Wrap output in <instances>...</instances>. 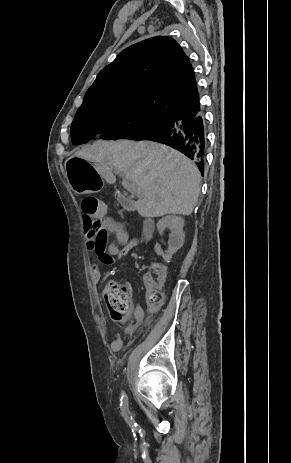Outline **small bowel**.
Returning a JSON list of instances; mask_svg holds the SVG:
<instances>
[{
	"mask_svg": "<svg viewBox=\"0 0 291 463\" xmlns=\"http://www.w3.org/2000/svg\"><path fill=\"white\" fill-rule=\"evenodd\" d=\"M110 234L114 236V240L108 243L107 239ZM85 241L87 248L94 251L99 262L105 265L114 264L140 244L139 240L129 238L127 231L121 223L105 215L100 218L99 228L92 230L85 229ZM92 276L95 282L100 281L101 274L96 266L93 268ZM143 280L149 285L151 283V276L145 275ZM126 287L131 289V284L127 282ZM133 315L136 326L144 322L145 313L141 306L134 308ZM121 346L122 338L118 335L112 341L111 349L117 352Z\"/></svg>",
	"mask_w": 291,
	"mask_h": 463,
	"instance_id": "obj_1",
	"label": "small bowel"
}]
</instances>
